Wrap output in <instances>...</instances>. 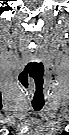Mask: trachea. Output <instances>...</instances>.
Returning <instances> with one entry per match:
<instances>
[{
  "label": "trachea",
  "mask_w": 69,
  "mask_h": 135,
  "mask_svg": "<svg viewBox=\"0 0 69 135\" xmlns=\"http://www.w3.org/2000/svg\"><path fill=\"white\" fill-rule=\"evenodd\" d=\"M32 106L35 111H40L43 108L44 103H32Z\"/></svg>",
  "instance_id": "3493384b"
}]
</instances>
